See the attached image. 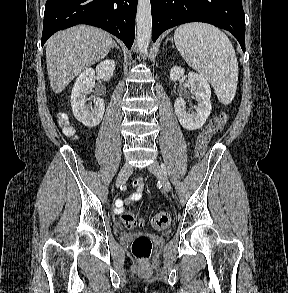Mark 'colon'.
Segmentation results:
<instances>
[{
  "instance_id": "1",
  "label": "colon",
  "mask_w": 288,
  "mask_h": 293,
  "mask_svg": "<svg viewBox=\"0 0 288 293\" xmlns=\"http://www.w3.org/2000/svg\"><path fill=\"white\" fill-rule=\"evenodd\" d=\"M228 121V116L221 113L213 117L199 134L195 144V156L200 159L204 156L207 146L211 138L223 130ZM60 125L64 133L68 136H74V129L70 126L68 118L61 115L59 118ZM121 221L127 228H134L137 225H142L130 210H124L121 213ZM151 225L156 229H165L170 224V216L165 212L156 213L150 220ZM131 250L135 258L139 260H146L150 257L152 252V241L147 236L136 237L131 246Z\"/></svg>"
}]
</instances>
